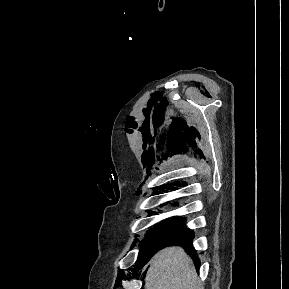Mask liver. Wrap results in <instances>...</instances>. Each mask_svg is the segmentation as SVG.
I'll return each instance as SVG.
<instances>
[{
    "mask_svg": "<svg viewBox=\"0 0 289 289\" xmlns=\"http://www.w3.org/2000/svg\"><path fill=\"white\" fill-rule=\"evenodd\" d=\"M145 289H201L190 257L180 247L160 250L151 260Z\"/></svg>",
    "mask_w": 289,
    "mask_h": 289,
    "instance_id": "liver-1",
    "label": "liver"
}]
</instances>
